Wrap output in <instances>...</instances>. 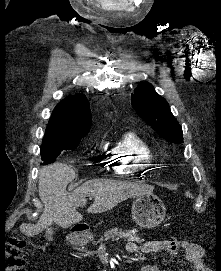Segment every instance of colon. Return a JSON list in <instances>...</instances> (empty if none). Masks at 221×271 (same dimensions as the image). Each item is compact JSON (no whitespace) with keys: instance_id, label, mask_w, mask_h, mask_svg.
<instances>
[{"instance_id":"1","label":"colon","mask_w":221,"mask_h":271,"mask_svg":"<svg viewBox=\"0 0 221 271\" xmlns=\"http://www.w3.org/2000/svg\"><path fill=\"white\" fill-rule=\"evenodd\" d=\"M51 238V233L42 235ZM30 254L29 243L23 236H14L9 240L7 252L0 261L1 271H25L24 263Z\"/></svg>"}]
</instances>
